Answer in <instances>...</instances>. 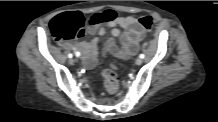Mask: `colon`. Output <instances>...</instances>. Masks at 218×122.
<instances>
[{
	"label": "colon",
	"instance_id": "obj_1",
	"mask_svg": "<svg viewBox=\"0 0 218 122\" xmlns=\"http://www.w3.org/2000/svg\"><path fill=\"white\" fill-rule=\"evenodd\" d=\"M139 22L144 29L149 30L152 27L153 18L145 15L139 19ZM84 24L85 18L80 12H70L55 17L50 23V29L57 40L67 41L82 36ZM102 77L106 90L110 93L116 92L118 89L116 67L111 65L103 70Z\"/></svg>",
	"mask_w": 218,
	"mask_h": 122
}]
</instances>
